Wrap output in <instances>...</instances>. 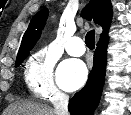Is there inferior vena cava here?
<instances>
[{"mask_svg":"<svg viewBox=\"0 0 131 115\" xmlns=\"http://www.w3.org/2000/svg\"><path fill=\"white\" fill-rule=\"evenodd\" d=\"M69 97L63 93H57L52 101L56 115H69L68 113Z\"/></svg>","mask_w":131,"mask_h":115,"instance_id":"1","label":"inferior vena cava"}]
</instances>
